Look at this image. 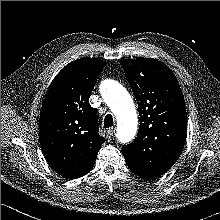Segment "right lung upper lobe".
I'll return each instance as SVG.
<instances>
[{"label": "right lung upper lobe", "instance_id": "cb5924a9", "mask_svg": "<svg viewBox=\"0 0 220 220\" xmlns=\"http://www.w3.org/2000/svg\"><path fill=\"white\" fill-rule=\"evenodd\" d=\"M105 61L80 58L53 79L39 119V137L51 168L67 179L87 174L94 166L104 138L89 97Z\"/></svg>", "mask_w": 220, "mask_h": 220}]
</instances>
